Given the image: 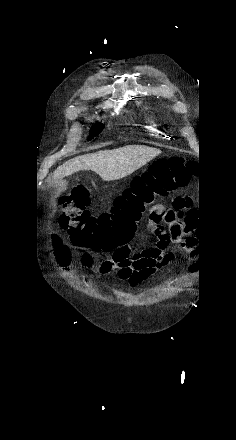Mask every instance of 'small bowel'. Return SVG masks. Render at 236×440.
Listing matches in <instances>:
<instances>
[{"label":"small bowel","instance_id":"small-bowel-1","mask_svg":"<svg viewBox=\"0 0 236 440\" xmlns=\"http://www.w3.org/2000/svg\"><path fill=\"white\" fill-rule=\"evenodd\" d=\"M192 204L191 197L177 196L171 207L155 205L149 214L148 228L156 238V244L142 250H134L128 244L118 246L105 256L99 266V273L107 275L116 272L120 280L134 286L168 266L175 259V253L169 251L171 244L181 249H190L195 243L194 231L188 229L185 222L187 210ZM59 258L62 263L69 260L70 254L65 247L59 246ZM80 260L84 268L93 267L94 257L89 250L81 251ZM195 270L196 267L191 266L190 274H194Z\"/></svg>","mask_w":236,"mask_h":440}]
</instances>
